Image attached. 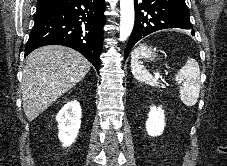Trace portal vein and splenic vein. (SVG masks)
I'll use <instances>...</instances> for the list:
<instances>
[{"mask_svg":"<svg viewBox=\"0 0 227 166\" xmlns=\"http://www.w3.org/2000/svg\"><path fill=\"white\" fill-rule=\"evenodd\" d=\"M160 77L159 73H156V79H158Z\"/></svg>","mask_w":227,"mask_h":166,"instance_id":"portal-vein-and-splenic-vein-1","label":"portal vein and splenic vein"}]
</instances>
